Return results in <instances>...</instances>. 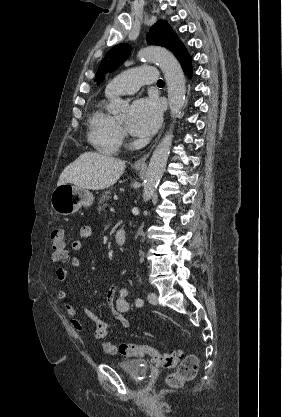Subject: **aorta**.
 I'll return each instance as SVG.
<instances>
[{
    "label": "aorta",
    "mask_w": 282,
    "mask_h": 417,
    "mask_svg": "<svg viewBox=\"0 0 282 417\" xmlns=\"http://www.w3.org/2000/svg\"><path fill=\"white\" fill-rule=\"evenodd\" d=\"M140 60H154L160 66L166 80L168 100L172 118H177L184 106L186 86L185 76L176 56L162 46H147L142 48L137 54ZM110 112L114 114H122L126 112L129 104L122 98H112L110 102ZM172 132H167L164 138L157 144L148 164L145 184L143 188V200H150L155 188L159 184V180L165 170L167 158L169 156L172 144Z\"/></svg>",
    "instance_id": "aorta-1"
}]
</instances>
